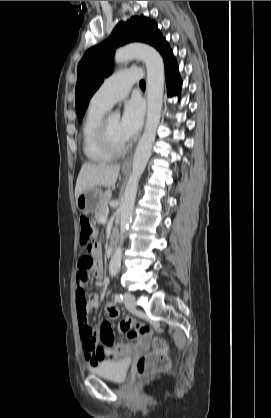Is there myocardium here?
I'll use <instances>...</instances> for the list:
<instances>
[{
    "mask_svg": "<svg viewBox=\"0 0 271 418\" xmlns=\"http://www.w3.org/2000/svg\"><path fill=\"white\" fill-rule=\"evenodd\" d=\"M109 119L110 116H105L97 129V140L99 145L103 150L108 152L109 154L113 156L121 155L124 152H126L128 146L126 142L124 143H116L111 136L110 130H109Z\"/></svg>",
    "mask_w": 271,
    "mask_h": 418,
    "instance_id": "obj_1",
    "label": "myocardium"
}]
</instances>
